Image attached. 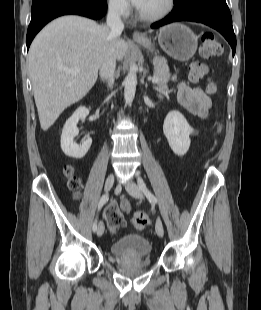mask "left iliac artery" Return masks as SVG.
Segmentation results:
<instances>
[{
    "label": "left iliac artery",
    "instance_id": "44dca946",
    "mask_svg": "<svg viewBox=\"0 0 261 310\" xmlns=\"http://www.w3.org/2000/svg\"><path fill=\"white\" fill-rule=\"evenodd\" d=\"M138 186L141 189V191L146 195L148 200L152 203H157L156 197L149 191V189L146 187V184L144 183L143 179L138 176L137 178Z\"/></svg>",
    "mask_w": 261,
    "mask_h": 310
}]
</instances>
